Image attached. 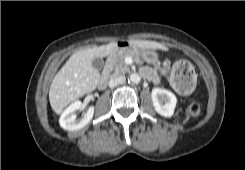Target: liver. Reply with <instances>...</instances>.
Here are the masks:
<instances>
[{"label": "liver", "instance_id": "obj_1", "mask_svg": "<svg viewBox=\"0 0 245 170\" xmlns=\"http://www.w3.org/2000/svg\"><path fill=\"white\" fill-rule=\"evenodd\" d=\"M128 44L145 50L168 49L156 41L130 40ZM117 49V43L112 42L85 48L70 56L53 78L49 89L50 105L56 114H61L69 103L96 89L100 82V72L93 67L92 61L109 56Z\"/></svg>", "mask_w": 245, "mask_h": 170}]
</instances>
